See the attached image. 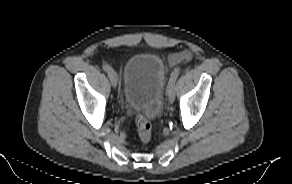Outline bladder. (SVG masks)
<instances>
[{"instance_id":"bladder-1","label":"bladder","mask_w":292,"mask_h":184,"mask_svg":"<svg viewBox=\"0 0 292 184\" xmlns=\"http://www.w3.org/2000/svg\"><path fill=\"white\" fill-rule=\"evenodd\" d=\"M165 81L166 68L158 55L132 56L123 73V99L127 108L156 118L160 113Z\"/></svg>"}]
</instances>
